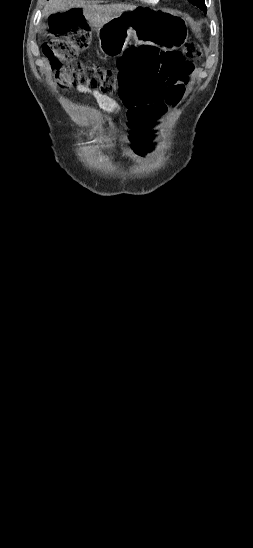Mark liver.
Instances as JSON below:
<instances>
[{"label":"liver","instance_id":"6515ba94","mask_svg":"<svg viewBox=\"0 0 253 548\" xmlns=\"http://www.w3.org/2000/svg\"><path fill=\"white\" fill-rule=\"evenodd\" d=\"M82 8L83 15L91 27L99 29L114 17L136 9V6L126 4H90L85 0H49L44 7V13L50 15L59 11Z\"/></svg>","mask_w":253,"mask_h":548}]
</instances>
